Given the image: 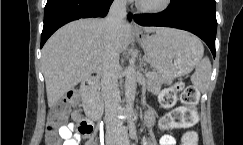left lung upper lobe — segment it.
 Listing matches in <instances>:
<instances>
[{
  "instance_id": "left-lung-upper-lobe-1",
  "label": "left lung upper lobe",
  "mask_w": 243,
  "mask_h": 145,
  "mask_svg": "<svg viewBox=\"0 0 243 145\" xmlns=\"http://www.w3.org/2000/svg\"><path fill=\"white\" fill-rule=\"evenodd\" d=\"M170 3H176L195 12H215V0H171Z\"/></svg>"
}]
</instances>
